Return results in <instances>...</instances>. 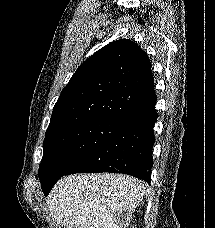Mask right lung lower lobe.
<instances>
[{
	"label": "right lung lower lobe",
	"instance_id": "right-lung-lower-lobe-1",
	"mask_svg": "<svg viewBox=\"0 0 215 228\" xmlns=\"http://www.w3.org/2000/svg\"><path fill=\"white\" fill-rule=\"evenodd\" d=\"M158 114L151 113L126 123L75 164L65 175L74 173H124L151 182L153 127Z\"/></svg>",
	"mask_w": 215,
	"mask_h": 228
}]
</instances>
